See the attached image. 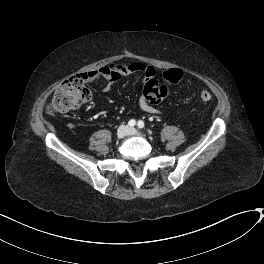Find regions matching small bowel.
<instances>
[{
  "label": "small bowel",
  "mask_w": 264,
  "mask_h": 264,
  "mask_svg": "<svg viewBox=\"0 0 264 264\" xmlns=\"http://www.w3.org/2000/svg\"><path fill=\"white\" fill-rule=\"evenodd\" d=\"M134 73L143 74L142 86H144L149 80H153L156 77V71L152 66L137 62L112 63L98 70L82 73L80 77L85 82L104 80L107 82V90H109L114 83L121 79V77ZM138 104L141 110H143L144 112L153 115L160 114V110L154 105L153 101H151L144 95L143 91H141L139 95Z\"/></svg>",
  "instance_id": "small-bowel-1"
}]
</instances>
